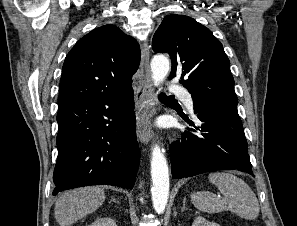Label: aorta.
Segmentation results:
<instances>
[{
	"label": "aorta",
	"instance_id": "obj_1",
	"mask_svg": "<svg viewBox=\"0 0 297 226\" xmlns=\"http://www.w3.org/2000/svg\"><path fill=\"white\" fill-rule=\"evenodd\" d=\"M170 69L168 58L156 55L151 61L152 81L158 86L167 76ZM152 202L155 211L163 213L169 198V169L164 150L155 144L151 155Z\"/></svg>",
	"mask_w": 297,
	"mask_h": 226
}]
</instances>
